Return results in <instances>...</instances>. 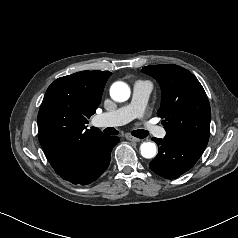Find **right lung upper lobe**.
I'll list each match as a JSON object with an SVG mask.
<instances>
[{"instance_id":"cb5924a9","label":"right lung upper lobe","mask_w":238,"mask_h":238,"mask_svg":"<svg viewBox=\"0 0 238 238\" xmlns=\"http://www.w3.org/2000/svg\"><path fill=\"white\" fill-rule=\"evenodd\" d=\"M109 71L60 77L47 89L38 113L39 142L49 162L67 155L79 140L96 133L86 124L101 102Z\"/></svg>"}]
</instances>
